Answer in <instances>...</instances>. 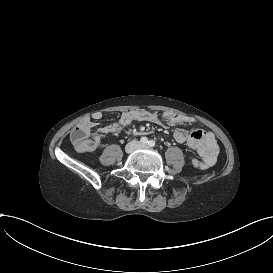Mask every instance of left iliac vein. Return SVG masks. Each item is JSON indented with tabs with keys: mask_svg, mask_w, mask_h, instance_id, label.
Returning <instances> with one entry per match:
<instances>
[{
	"mask_svg": "<svg viewBox=\"0 0 273 273\" xmlns=\"http://www.w3.org/2000/svg\"><path fill=\"white\" fill-rule=\"evenodd\" d=\"M141 148H147V145L146 144L139 145L138 149H141Z\"/></svg>",
	"mask_w": 273,
	"mask_h": 273,
	"instance_id": "obj_1",
	"label": "left iliac vein"
}]
</instances>
